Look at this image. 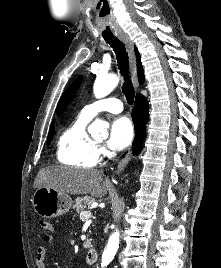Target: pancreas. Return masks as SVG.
Returning <instances> with one entry per match:
<instances>
[{
  "mask_svg": "<svg viewBox=\"0 0 221 268\" xmlns=\"http://www.w3.org/2000/svg\"><path fill=\"white\" fill-rule=\"evenodd\" d=\"M95 201V199L91 196H82L78 197L75 200V204L73 205V209H76L77 212L83 211L85 208H89L90 205Z\"/></svg>",
  "mask_w": 221,
  "mask_h": 268,
  "instance_id": "obj_1",
  "label": "pancreas"
}]
</instances>
